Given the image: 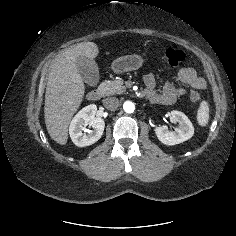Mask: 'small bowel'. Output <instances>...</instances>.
<instances>
[{
	"label": "small bowel",
	"instance_id": "c3829d8e",
	"mask_svg": "<svg viewBox=\"0 0 236 236\" xmlns=\"http://www.w3.org/2000/svg\"><path fill=\"white\" fill-rule=\"evenodd\" d=\"M179 80L186 86L202 90L206 84L203 78L197 75L196 71L191 67H182L178 73ZM145 95L156 104L172 105L179 96L186 93V89L177 88L170 83H166L160 90H157V81L152 73L144 75Z\"/></svg>",
	"mask_w": 236,
	"mask_h": 236
}]
</instances>
